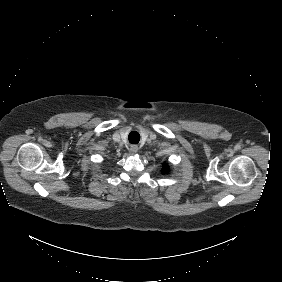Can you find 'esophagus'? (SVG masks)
<instances>
[{"instance_id":"esophagus-1","label":"esophagus","mask_w":282,"mask_h":282,"mask_svg":"<svg viewBox=\"0 0 282 282\" xmlns=\"http://www.w3.org/2000/svg\"><path fill=\"white\" fill-rule=\"evenodd\" d=\"M139 150L137 145H131L130 152L135 154Z\"/></svg>"}]
</instances>
